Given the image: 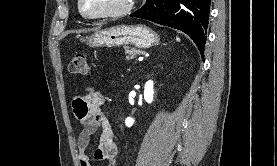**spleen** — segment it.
Wrapping results in <instances>:
<instances>
[{"label": "spleen", "instance_id": "spleen-1", "mask_svg": "<svg viewBox=\"0 0 277 166\" xmlns=\"http://www.w3.org/2000/svg\"><path fill=\"white\" fill-rule=\"evenodd\" d=\"M176 39H177V41H180V38L177 37Z\"/></svg>", "mask_w": 277, "mask_h": 166}]
</instances>
